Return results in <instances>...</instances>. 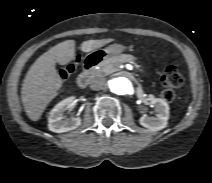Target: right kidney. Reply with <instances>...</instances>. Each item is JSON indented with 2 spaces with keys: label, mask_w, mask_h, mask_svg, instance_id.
Instances as JSON below:
<instances>
[{
  "label": "right kidney",
  "mask_w": 212,
  "mask_h": 183,
  "mask_svg": "<svg viewBox=\"0 0 212 183\" xmlns=\"http://www.w3.org/2000/svg\"><path fill=\"white\" fill-rule=\"evenodd\" d=\"M75 97H69L59 102L49 113L48 128L55 133L74 130L81 124L80 117L65 119L64 112L74 104Z\"/></svg>",
  "instance_id": "1"
}]
</instances>
